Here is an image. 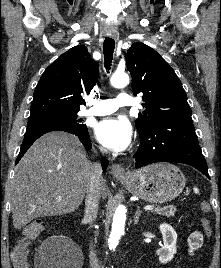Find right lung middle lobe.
<instances>
[{"label": "right lung middle lobe", "mask_w": 221, "mask_h": 268, "mask_svg": "<svg viewBox=\"0 0 221 268\" xmlns=\"http://www.w3.org/2000/svg\"><path fill=\"white\" fill-rule=\"evenodd\" d=\"M41 124L63 125L73 128H87L86 125L82 123V120L77 118V112H62L30 116L27 126L30 127Z\"/></svg>", "instance_id": "right-lung-middle-lobe-1"}]
</instances>
